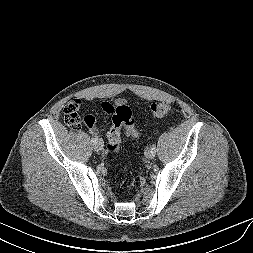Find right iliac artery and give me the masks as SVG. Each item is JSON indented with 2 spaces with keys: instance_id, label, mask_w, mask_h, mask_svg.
<instances>
[{
  "instance_id": "82829eb1",
  "label": "right iliac artery",
  "mask_w": 253,
  "mask_h": 253,
  "mask_svg": "<svg viewBox=\"0 0 253 253\" xmlns=\"http://www.w3.org/2000/svg\"><path fill=\"white\" fill-rule=\"evenodd\" d=\"M97 140H98L97 137H93V138H92V142H96Z\"/></svg>"
}]
</instances>
